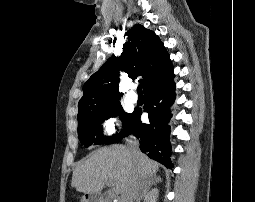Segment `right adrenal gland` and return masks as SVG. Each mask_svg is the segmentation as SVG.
Masks as SVG:
<instances>
[{
    "instance_id": "1",
    "label": "right adrenal gland",
    "mask_w": 255,
    "mask_h": 202,
    "mask_svg": "<svg viewBox=\"0 0 255 202\" xmlns=\"http://www.w3.org/2000/svg\"><path fill=\"white\" fill-rule=\"evenodd\" d=\"M144 181H145V184H146V190H145V192H144V195H143L142 197L138 198L136 202H140V201L143 199V197L146 196V194L148 193V191L150 190V188H151L153 185L155 186V185H157L159 182H161V178H160V177H157L156 175H153V176H151V177L146 178Z\"/></svg>"
}]
</instances>
